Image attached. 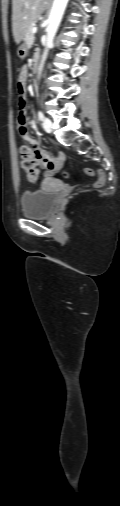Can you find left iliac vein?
Listing matches in <instances>:
<instances>
[{
	"label": "left iliac vein",
	"instance_id": "1",
	"mask_svg": "<svg viewBox=\"0 0 120 506\" xmlns=\"http://www.w3.org/2000/svg\"><path fill=\"white\" fill-rule=\"evenodd\" d=\"M43 128L46 132H51L52 130V122L49 118H45L43 121Z\"/></svg>",
	"mask_w": 120,
	"mask_h": 506
}]
</instances>
